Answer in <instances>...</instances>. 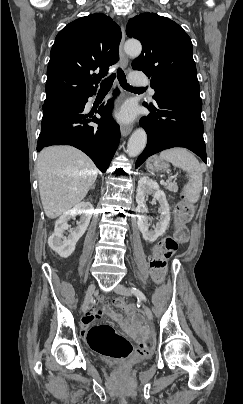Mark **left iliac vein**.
Listing matches in <instances>:
<instances>
[{
    "label": "left iliac vein",
    "instance_id": "left-iliac-vein-1",
    "mask_svg": "<svg viewBox=\"0 0 243 404\" xmlns=\"http://www.w3.org/2000/svg\"><path fill=\"white\" fill-rule=\"evenodd\" d=\"M114 291H115V293L120 294V295H126V296L131 295V292L122 284H118L115 287ZM143 309H144V313H145L146 317L149 320H152L153 314H152L151 309L147 305H143Z\"/></svg>",
    "mask_w": 243,
    "mask_h": 404
}]
</instances>
